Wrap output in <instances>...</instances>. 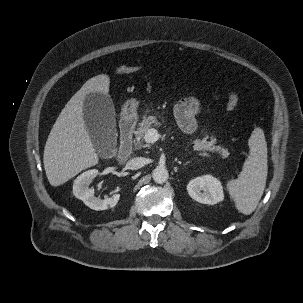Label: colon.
Segmentation results:
<instances>
[{"mask_svg":"<svg viewBox=\"0 0 303 303\" xmlns=\"http://www.w3.org/2000/svg\"><path fill=\"white\" fill-rule=\"evenodd\" d=\"M140 67L138 66H127V65H122L117 68L116 70V75H127L134 73L138 71ZM238 96L236 93L230 91L227 94V100H226V108L228 111L234 112L238 109Z\"/></svg>","mask_w":303,"mask_h":303,"instance_id":"1","label":"colon"}]
</instances>
